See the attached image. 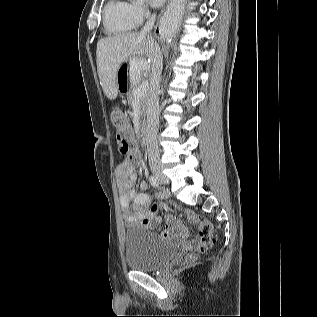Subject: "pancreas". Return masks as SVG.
<instances>
[{
  "label": "pancreas",
  "instance_id": "cf45deb5",
  "mask_svg": "<svg viewBox=\"0 0 317 317\" xmlns=\"http://www.w3.org/2000/svg\"><path fill=\"white\" fill-rule=\"evenodd\" d=\"M137 76H139V78H140V72H138ZM137 88H140V85L137 84V85H133V86L129 87V89H128L129 92L127 94V99H128L129 103H132L136 99V96L134 95V93L137 92V90H138ZM137 100H138L139 112L143 116L145 113L147 97H146V95H143V96H140L139 98H137Z\"/></svg>",
  "mask_w": 317,
  "mask_h": 317
}]
</instances>
